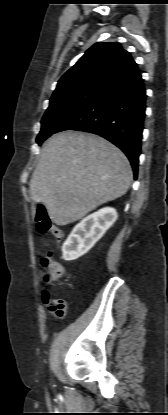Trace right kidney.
I'll return each instance as SVG.
<instances>
[{"label": "right kidney", "mask_w": 168, "mask_h": 415, "mask_svg": "<svg viewBox=\"0 0 168 415\" xmlns=\"http://www.w3.org/2000/svg\"><path fill=\"white\" fill-rule=\"evenodd\" d=\"M118 215L114 208L105 207L78 223L62 246L63 259L75 260L87 253L114 224Z\"/></svg>", "instance_id": "right-kidney-1"}]
</instances>
